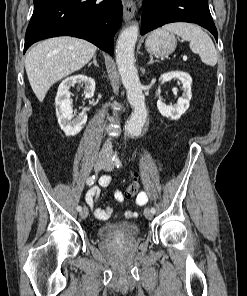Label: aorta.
Segmentation results:
<instances>
[{
	"label": "aorta",
	"mask_w": 247,
	"mask_h": 296,
	"mask_svg": "<svg viewBox=\"0 0 247 296\" xmlns=\"http://www.w3.org/2000/svg\"><path fill=\"white\" fill-rule=\"evenodd\" d=\"M139 34L137 23L124 28L116 44V63L127 99L133 107V112L127 121L126 130L132 135H139L146 122L147 109L142 86L134 66V50Z\"/></svg>",
	"instance_id": "1"
}]
</instances>
